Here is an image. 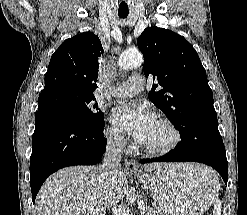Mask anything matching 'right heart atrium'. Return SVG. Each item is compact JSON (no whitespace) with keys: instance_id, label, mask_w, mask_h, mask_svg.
Segmentation results:
<instances>
[{"instance_id":"1","label":"right heart atrium","mask_w":247,"mask_h":215,"mask_svg":"<svg viewBox=\"0 0 247 215\" xmlns=\"http://www.w3.org/2000/svg\"><path fill=\"white\" fill-rule=\"evenodd\" d=\"M105 139L109 147L118 151L124 150L127 146L126 138L113 127L105 129Z\"/></svg>"}]
</instances>
